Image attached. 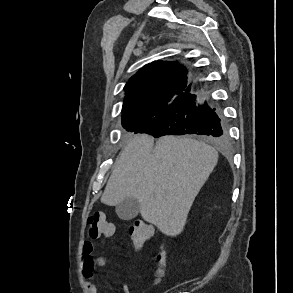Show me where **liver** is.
<instances>
[{"label":"liver","mask_w":293,"mask_h":293,"mask_svg":"<svg viewBox=\"0 0 293 293\" xmlns=\"http://www.w3.org/2000/svg\"><path fill=\"white\" fill-rule=\"evenodd\" d=\"M218 161L211 146L188 137L133 136L122 149L101 202L135 198L142 218L167 236L179 235L190 208Z\"/></svg>","instance_id":"6515ba94"}]
</instances>
